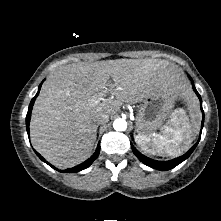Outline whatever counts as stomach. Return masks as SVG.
<instances>
[{
    "instance_id": "1",
    "label": "stomach",
    "mask_w": 221,
    "mask_h": 221,
    "mask_svg": "<svg viewBox=\"0 0 221 221\" xmlns=\"http://www.w3.org/2000/svg\"><path fill=\"white\" fill-rule=\"evenodd\" d=\"M177 85L176 81L169 82L143 100L135 119L136 130L139 134H152L171 117L172 108L179 96Z\"/></svg>"
}]
</instances>
